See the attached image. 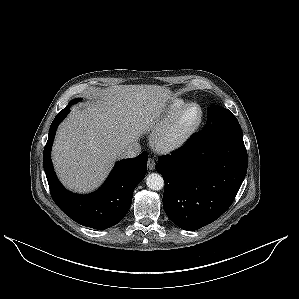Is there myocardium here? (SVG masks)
I'll return each instance as SVG.
<instances>
[{"label": "myocardium", "instance_id": "obj_1", "mask_svg": "<svg viewBox=\"0 0 299 299\" xmlns=\"http://www.w3.org/2000/svg\"><path fill=\"white\" fill-rule=\"evenodd\" d=\"M192 107L199 110L197 121L184 131H177L183 114ZM204 118L203 108L198 103H187L168 118L153 134L154 144L163 151H171L184 146L199 130Z\"/></svg>", "mask_w": 299, "mask_h": 299}]
</instances>
